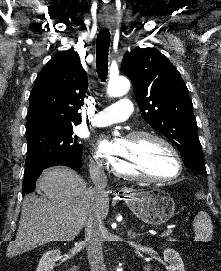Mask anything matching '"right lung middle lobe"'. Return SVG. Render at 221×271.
Instances as JSON below:
<instances>
[{
  "mask_svg": "<svg viewBox=\"0 0 221 271\" xmlns=\"http://www.w3.org/2000/svg\"><path fill=\"white\" fill-rule=\"evenodd\" d=\"M25 165L53 161H71L81 157L82 145L73 136L72 126H40L26 131Z\"/></svg>",
  "mask_w": 221,
  "mask_h": 271,
  "instance_id": "dd1d6c3e",
  "label": "right lung middle lobe"
}]
</instances>
